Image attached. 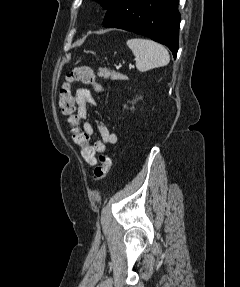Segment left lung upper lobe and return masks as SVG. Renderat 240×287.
<instances>
[{"label":"left lung upper lobe","mask_w":240,"mask_h":287,"mask_svg":"<svg viewBox=\"0 0 240 287\" xmlns=\"http://www.w3.org/2000/svg\"><path fill=\"white\" fill-rule=\"evenodd\" d=\"M99 2L104 8H107L111 0H95Z\"/></svg>","instance_id":"5c2ea615"}]
</instances>
